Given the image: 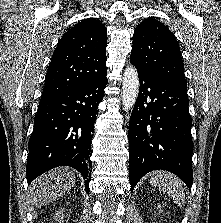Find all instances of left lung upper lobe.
Returning a JSON list of instances; mask_svg holds the SVG:
<instances>
[{"label":"left lung upper lobe","instance_id":"left-lung-upper-lobe-1","mask_svg":"<svg viewBox=\"0 0 221 223\" xmlns=\"http://www.w3.org/2000/svg\"><path fill=\"white\" fill-rule=\"evenodd\" d=\"M130 60L152 76L187 86L177 40L156 19L148 18L135 29Z\"/></svg>","mask_w":221,"mask_h":223}]
</instances>
